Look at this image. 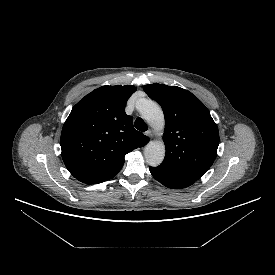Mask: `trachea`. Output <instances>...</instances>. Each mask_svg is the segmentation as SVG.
<instances>
[{"instance_id": "obj_1", "label": "trachea", "mask_w": 275, "mask_h": 275, "mask_svg": "<svg viewBox=\"0 0 275 275\" xmlns=\"http://www.w3.org/2000/svg\"><path fill=\"white\" fill-rule=\"evenodd\" d=\"M135 128L138 129L139 131L145 132L148 129L147 124L144 122L142 118H137L135 120Z\"/></svg>"}]
</instances>
